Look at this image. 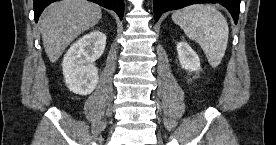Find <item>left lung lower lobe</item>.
<instances>
[{
  "instance_id": "obj_1",
  "label": "left lung lower lobe",
  "mask_w": 276,
  "mask_h": 145,
  "mask_svg": "<svg viewBox=\"0 0 276 145\" xmlns=\"http://www.w3.org/2000/svg\"><path fill=\"white\" fill-rule=\"evenodd\" d=\"M195 3H220L232 15L234 22H238L240 0H154V16L157 22L161 14Z\"/></svg>"
}]
</instances>
